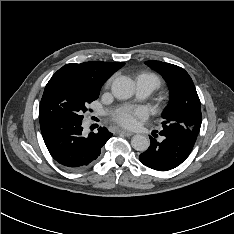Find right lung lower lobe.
<instances>
[{
    "label": "right lung lower lobe",
    "instance_id": "1",
    "mask_svg": "<svg viewBox=\"0 0 234 234\" xmlns=\"http://www.w3.org/2000/svg\"><path fill=\"white\" fill-rule=\"evenodd\" d=\"M41 125V132L51 156L69 169H82L93 163L112 134L99 127L98 132L82 134V120L53 119Z\"/></svg>",
    "mask_w": 234,
    "mask_h": 234
}]
</instances>
